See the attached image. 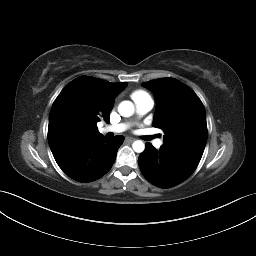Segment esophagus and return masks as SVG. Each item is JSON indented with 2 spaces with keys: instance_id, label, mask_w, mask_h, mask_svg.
Instances as JSON below:
<instances>
[{
  "instance_id": "obj_1",
  "label": "esophagus",
  "mask_w": 256,
  "mask_h": 256,
  "mask_svg": "<svg viewBox=\"0 0 256 256\" xmlns=\"http://www.w3.org/2000/svg\"><path fill=\"white\" fill-rule=\"evenodd\" d=\"M126 141H127V142H133V141H135V138L127 137V138H126Z\"/></svg>"
}]
</instances>
